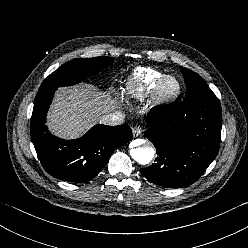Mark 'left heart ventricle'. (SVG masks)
Returning a JSON list of instances; mask_svg holds the SVG:
<instances>
[{
  "label": "left heart ventricle",
  "mask_w": 248,
  "mask_h": 248,
  "mask_svg": "<svg viewBox=\"0 0 248 248\" xmlns=\"http://www.w3.org/2000/svg\"><path fill=\"white\" fill-rule=\"evenodd\" d=\"M176 90V83L174 81H169L165 86V93L172 94Z\"/></svg>",
  "instance_id": "1"
}]
</instances>
